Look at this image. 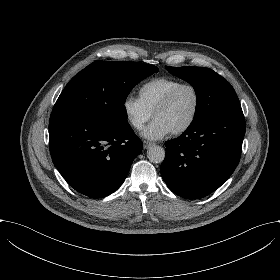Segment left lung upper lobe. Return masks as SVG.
<instances>
[{"mask_svg": "<svg viewBox=\"0 0 280 280\" xmlns=\"http://www.w3.org/2000/svg\"><path fill=\"white\" fill-rule=\"evenodd\" d=\"M173 75L190 83L196 92L197 103L192 123L199 118L240 106L230 83L211 69L203 67H170Z\"/></svg>", "mask_w": 280, "mask_h": 280, "instance_id": "left-lung-upper-lobe-1", "label": "left lung upper lobe"}]
</instances>
